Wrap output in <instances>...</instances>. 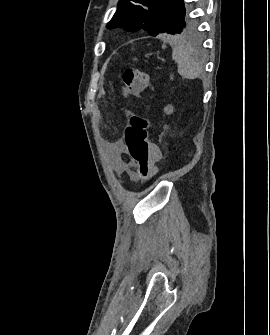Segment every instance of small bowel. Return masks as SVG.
Returning <instances> with one entry per match:
<instances>
[{
    "label": "small bowel",
    "instance_id": "1",
    "mask_svg": "<svg viewBox=\"0 0 270 335\" xmlns=\"http://www.w3.org/2000/svg\"><path fill=\"white\" fill-rule=\"evenodd\" d=\"M111 152L118 160L120 156L125 152V145L122 140H116L109 145ZM160 158V155H159ZM134 167L133 162H119L117 165V171L119 174L127 173L131 177L132 168Z\"/></svg>",
    "mask_w": 270,
    "mask_h": 335
}]
</instances>
